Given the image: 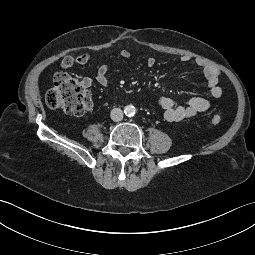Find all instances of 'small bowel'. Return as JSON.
I'll return each mask as SVG.
<instances>
[{
  "instance_id": "small-bowel-1",
  "label": "small bowel",
  "mask_w": 255,
  "mask_h": 255,
  "mask_svg": "<svg viewBox=\"0 0 255 255\" xmlns=\"http://www.w3.org/2000/svg\"><path fill=\"white\" fill-rule=\"evenodd\" d=\"M119 57L122 60H128L131 57V53L128 50H121L119 52ZM89 59L90 57L86 53L78 56H66L61 61V67L63 69H70L75 65L86 64ZM191 60L192 58L187 55L181 57V61L184 63L190 62ZM194 63L202 71L207 81L211 96L214 98H220L222 96V89L218 84L221 74L220 70L200 58L195 59ZM146 64L148 68H153L156 64L155 58L152 56L148 57ZM109 71V64L101 65L96 72L95 81L101 86H108L110 84V80L108 78ZM82 82L86 87H90L92 85V80L90 78H84ZM157 103L163 110L165 119L171 122L190 119L210 108V101L200 96L191 97L185 104L178 105L173 99L161 95L158 97Z\"/></svg>"
}]
</instances>
